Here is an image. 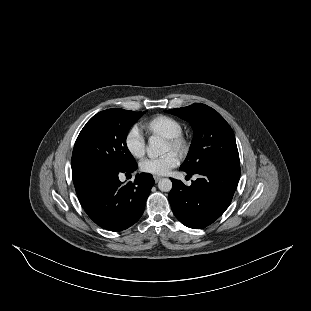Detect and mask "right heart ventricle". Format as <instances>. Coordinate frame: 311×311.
I'll use <instances>...</instances> for the list:
<instances>
[{"instance_id":"obj_1","label":"right heart ventricle","mask_w":311,"mask_h":311,"mask_svg":"<svg viewBox=\"0 0 311 311\" xmlns=\"http://www.w3.org/2000/svg\"><path fill=\"white\" fill-rule=\"evenodd\" d=\"M144 128L149 134L166 139L184 132V125L179 119L165 114H159L150 118L144 123Z\"/></svg>"}]
</instances>
